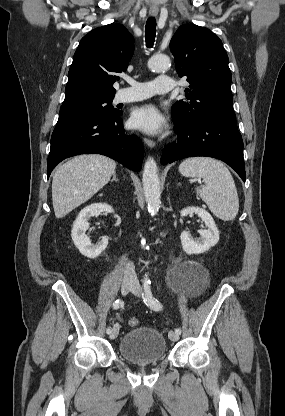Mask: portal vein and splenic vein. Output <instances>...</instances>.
<instances>
[{"label":"portal vein and splenic vein","instance_id":"obj_1","mask_svg":"<svg viewBox=\"0 0 285 416\" xmlns=\"http://www.w3.org/2000/svg\"><path fill=\"white\" fill-rule=\"evenodd\" d=\"M196 182H200V180H196Z\"/></svg>","mask_w":285,"mask_h":416}]
</instances>
